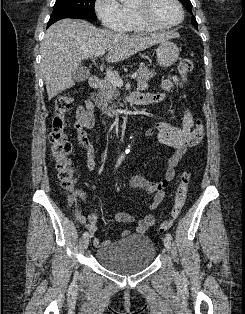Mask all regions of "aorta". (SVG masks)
<instances>
[{
  "label": "aorta",
  "instance_id": "1",
  "mask_svg": "<svg viewBox=\"0 0 245 314\" xmlns=\"http://www.w3.org/2000/svg\"><path fill=\"white\" fill-rule=\"evenodd\" d=\"M121 3H125V2H127V0H119ZM130 146H128V149H127V152H129L130 151Z\"/></svg>",
  "mask_w": 245,
  "mask_h": 314
}]
</instances>
